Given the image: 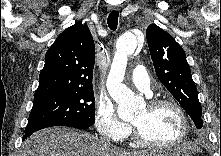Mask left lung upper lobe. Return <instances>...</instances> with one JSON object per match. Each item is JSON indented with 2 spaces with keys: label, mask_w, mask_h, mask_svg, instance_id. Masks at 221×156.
I'll list each match as a JSON object with an SVG mask.
<instances>
[{
  "label": "left lung upper lobe",
  "mask_w": 221,
  "mask_h": 156,
  "mask_svg": "<svg viewBox=\"0 0 221 156\" xmlns=\"http://www.w3.org/2000/svg\"><path fill=\"white\" fill-rule=\"evenodd\" d=\"M156 74L191 117L197 129L202 128V108L184 50L175 39L155 24L146 32Z\"/></svg>",
  "instance_id": "obj_1"
}]
</instances>
